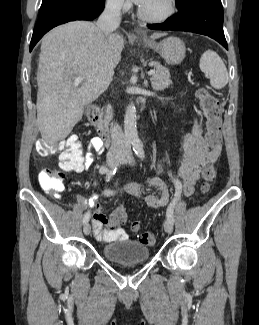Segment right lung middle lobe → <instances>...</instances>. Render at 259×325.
Returning a JSON list of instances; mask_svg holds the SVG:
<instances>
[{
  "mask_svg": "<svg viewBox=\"0 0 259 325\" xmlns=\"http://www.w3.org/2000/svg\"><path fill=\"white\" fill-rule=\"evenodd\" d=\"M62 0H42V5L40 7V11L44 10L45 8H47L49 5L59 2Z\"/></svg>",
  "mask_w": 259,
  "mask_h": 325,
  "instance_id": "dd1d6c3e",
  "label": "right lung middle lobe"
}]
</instances>
